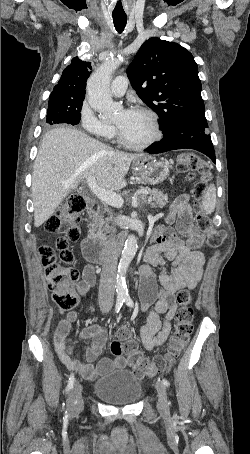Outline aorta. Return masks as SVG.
I'll return each mask as SVG.
<instances>
[{"label":"aorta","mask_w":250,"mask_h":454,"mask_svg":"<svg viewBox=\"0 0 250 454\" xmlns=\"http://www.w3.org/2000/svg\"><path fill=\"white\" fill-rule=\"evenodd\" d=\"M121 64V59L109 58L102 63L87 81V100L89 105L100 113L102 117H112L121 106L114 102L110 93V82L113 72ZM137 239L134 235L128 236L122 250L118 265L116 293L117 300L122 301L128 297L125 283L127 269L137 251Z\"/></svg>","instance_id":"1"}]
</instances>
